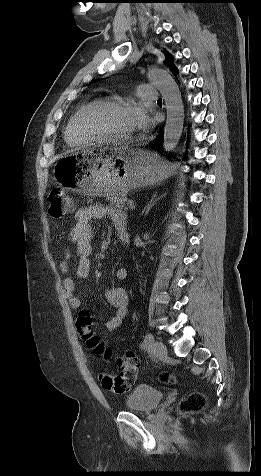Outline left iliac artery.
Wrapping results in <instances>:
<instances>
[{
	"instance_id": "44dca946",
	"label": "left iliac artery",
	"mask_w": 261,
	"mask_h": 476,
	"mask_svg": "<svg viewBox=\"0 0 261 476\" xmlns=\"http://www.w3.org/2000/svg\"><path fill=\"white\" fill-rule=\"evenodd\" d=\"M153 342H154V336L151 333H148L145 336L144 342L142 343V347L150 348Z\"/></svg>"
}]
</instances>
